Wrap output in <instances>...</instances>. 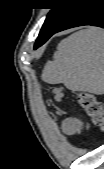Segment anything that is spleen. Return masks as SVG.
Here are the masks:
<instances>
[{"label": "spleen", "instance_id": "1", "mask_svg": "<svg viewBox=\"0 0 104 169\" xmlns=\"http://www.w3.org/2000/svg\"><path fill=\"white\" fill-rule=\"evenodd\" d=\"M42 80L63 83L69 90L104 93V32L90 27L62 40L53 61L44 67Z\"/></svg>", "mask_w": 104, "mask_h": 169}]
</instances>
